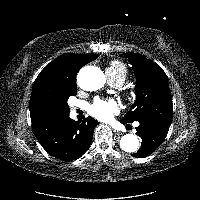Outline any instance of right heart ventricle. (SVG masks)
Segmentation results:
<instances>
[{
    "label": "right heart ventricle",
    "mask_w": 200,
    "mask_h": 200,
    "mask_svg": "<svg viewBox=\"0 0 200 200\" xmlns=\"http://www.w3.org/2000/svg\"><path fill=\"white\" fill-rule=\"evenodd\" d=\"M106 74L110 81L124 83L128 74L127 66L120 60H112L106 68Z\"/></svg>",
    "instance_id": "e07e8e85"
}]
</instances>
